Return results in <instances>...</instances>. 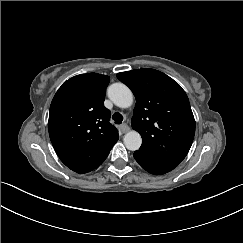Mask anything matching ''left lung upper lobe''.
Masks as SVG:
<instances>
[{"mask_svg":"<svg viewBox=\"0 0 243 243\" xmlns=\"http://www.w3.org/2000/svg\"><path fill=\"white\" fill-rule=\"evenodd\" d=\"M136 97L131 123L142 136L140 151L159 160L179 164L195 134V120L181 86L154 69L118 73Z\"/></svg>","mask_w":243,"mask_h":243,"instance_id":"1","label":"left lung upper lobe"}]
</instances>
